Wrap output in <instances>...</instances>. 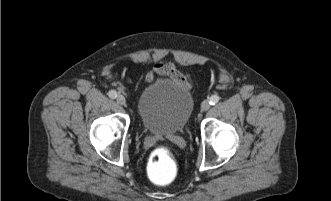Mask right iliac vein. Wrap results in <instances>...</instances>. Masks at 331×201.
<instances>
[{
    "label": "right iliac vein",
    "instance_id": "1",
    "mask_svg": "<svg viewBox=\"0 0 331 201\" xmlns=\"http://www.w3.org/2000/svg\"><path fill=\"white\" fill-rule=\"evenodd\" d=\"M116 101L119 105H125L126 104V99L123 95H118Z\"/></svg>",
    "mask_w": 331,
    "mask_h": 201
}]
</instances>
